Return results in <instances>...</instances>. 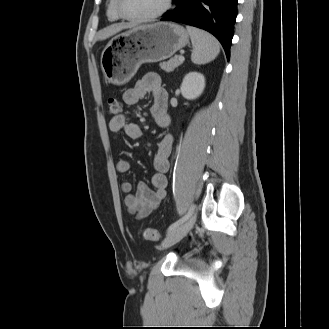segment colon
Masks as SVG:
<instances>
[{"mask_svg":"<svg viewBox=\"0 0 329 329\" xmlns=\"http://www.w3.org/2000/svg\"><path fill=\"white\" fill-rule=\"evenodd\" d=\"M108 108L110 114L117 116L120 115L122 111V104L118 98L111 97L108 99ZM140 234L145 240L149 241H160L162 239L161 232L153 228H144L141 230Z\"/></svg>","mask_w":329,"mask_h":329,"instance_id":"1","label":"colon"}]
</instances>
